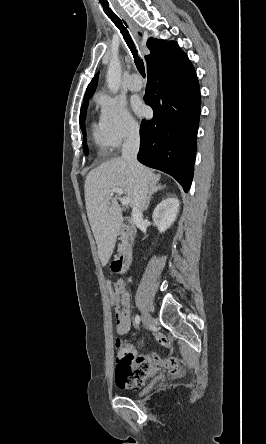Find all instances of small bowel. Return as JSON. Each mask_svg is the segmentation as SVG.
Returning <instances> with one entry per match:
<instances>
[{
    "label": "small bowel",
    "instance_id": "small-bowel-1",
    "mask_svg": "<svg viewBox=\"0 0 266 444\" xmlns=\"http://www.w3.org/2000/svg\"><path fill=\"white\" fill-rule=\"evenodd\" d=\"M117 332L121 335L131 328L130 296L124 289L118 308L115 309ZM157 339L166 347L170 346L167 338L158 336ZM117 358L115 367V382L119 388L139 389L145 382L164 372L170 375H180L182 370L176 357L163 359L156 354L138 356L134 347L123 340L116 341Z\"/></svg>",
    "mask_w": 266,
    "mask_h": 444
}]
</instances>
